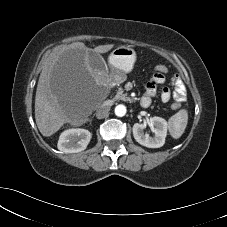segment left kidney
Returning <instances> with one entry per match:
<instances>
[{"mask_svg":"<svg viewBox=\"0 0 227 227\" xmlns=\"http://www.w3.org/2000/svg\"><path fill=\"white\" fill-rule=\"evenodd\" d=\"M150 125L153 127V136L144 132L146 124L135 123L133 125V136L135 140L148 148H160L165 143L167 135L168 124L167 121L161 117H153L150 119Z\"/></svg>","mask_w":227,"mask_h":227,"instance_id":"obj_1","label":"left kidney"}]
</instances>
